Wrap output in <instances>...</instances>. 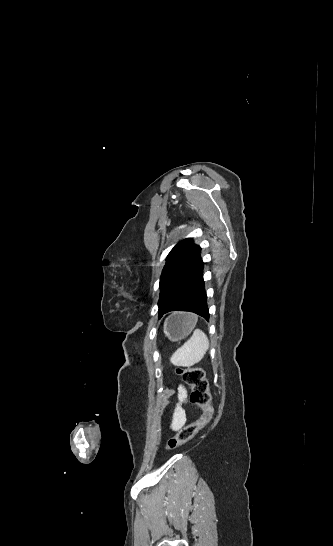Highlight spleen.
<instances>
[{
    "instance_id": "spleen-1",
    "label": "spleen",
    "mask_w": 333,
    "mask_h": 546,
    "mask_svg": "<svg viewBox=\"0 0 333 546\" xmlns=\"http://www.w3.org/2000/svg\"><path fill=\"white\" fill-rule=\"evenodd\" d=\"M197 320L196 315H192ZM209 349V340L205 333L197 329L193 335L170 357L174 366L188 367L199 363Z\"/></svg>"
}]
</instances>
